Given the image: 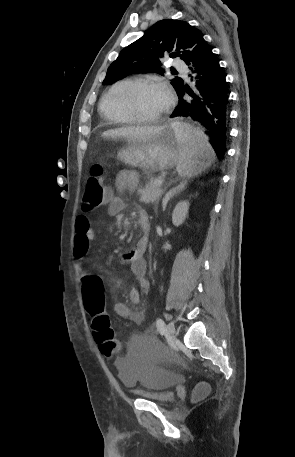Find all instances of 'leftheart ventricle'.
Masks as SVG:
<instances>
[{"mask_svg":"<svg viewBox=\"0 0 295 457\" xmlns=\"http://www.w3.org/2000/svg\"><path fill=\"white\" fill-rule=\"evenodd\" d=\"M137 111L143 116H156L167 106L160 86L141 89L135 97Z\"/></svg>","mask_w":295,"mask_h":457,"instance_id":"obj_1","label":"left heart ventricle"}]
</instances>
